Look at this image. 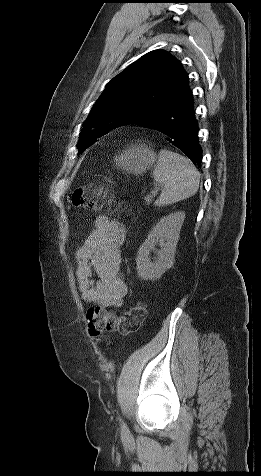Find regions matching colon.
Wrapping results in <instances>:
<instances>
[{"mask_svg": "<svg viewBox=\"0 0 261 476\" xmlns=\"http://www.w3.org/2000/svg\"><path fill=\"white\" fill-rule=\"evenodd\" d=\"M70 203L78 208L92 211H114V199L110 191L101 183H89L74 189L69 196ZM146 307L136 303L122 315H117L100 306L87 311V326L90 336L100 339L106 332L123 335L136 331L146 318Z\"/></svg>", "mask_w": 261, "mask_h": 476, "instance_id": "5ec220e1", "label": "colon"}]
</instances>
